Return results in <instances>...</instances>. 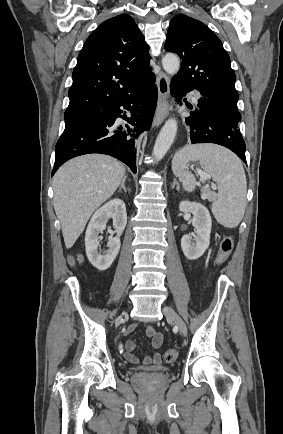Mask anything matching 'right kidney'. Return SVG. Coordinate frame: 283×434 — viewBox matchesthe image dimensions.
I'll use <instances>...</instances> for the list:
<instances>
[{"label": "right kidney", "mask_w": 283, "mask_h": 434, "mask_svg": "<svg viewBox=\"0 0 283 434\" xmlns=\"http://www.w3.org/2000/svg\"><path fill=\"white\" fill-rule=\"evenodd\" d=\"M109 218L113 219L116 236L109 239L107 250L101 254L99 233L106 228ZM127 224V212L124 202L113 199L99 208L92 216L85 235L86 255L90 263L100 271L107 270L116 258L121 242L120 236Z\"/></svg>", "instance_id": "right-kidney-1"}]
</instances>
